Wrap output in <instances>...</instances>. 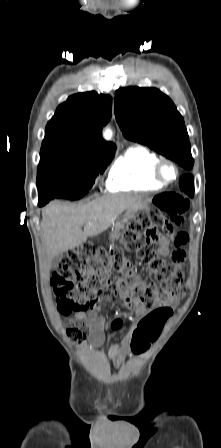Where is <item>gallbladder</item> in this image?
Instances as JSON below:
<instances>
[{
	"label": "gallbladder",
	"instance_id": "1",
	"mask_svg": "<svg viewBox=\"0 0 221 448\" xmlns=\"http://www.w3.org/2000/svg\"><path fill=\"white\" fill-rule=\"evenodd\" d=\"M62 258H63V254H62V253L59 254V255H57V256H55V257L52 259V261H51V268H52V269L57 268Z\"/></svg>",
	"mask_w": 221,
	"mask_h": 448
}]
</instances>
